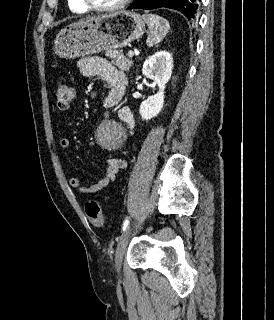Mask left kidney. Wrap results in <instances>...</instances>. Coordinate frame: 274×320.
I'll use <instances>...</instances> for the list:
<instances>
[{"mask_svg": "<svg viewBox=\"0 0 274 320\" xmlns=\"http://www.w3.org/2000/svg\"><path fill=\"white\" fill-rule=\"evenodd\" d=\"M173 70V58L169 52H156L153 56H149L145 60L142 68L143 76L153 80L154 84H157L159 90L154 96H149L147 100L141 102L139 108V114L142 120H152L155 116L160 114L164 106V90L166 84H168Z\"/></svg>", "mask_w": 274, "mask_h": 320, "instance_id": "1", "label": "left kidney"}]
</instances>
